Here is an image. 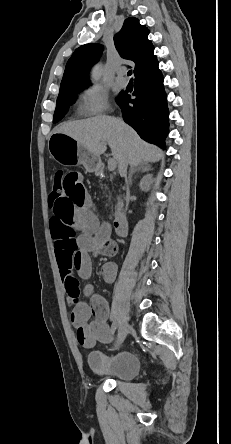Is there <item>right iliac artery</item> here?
<instances>
[{
    "label": "right iliac artery",
    "mask_w": 231,
    "mask_h": 444,
    "mask_svg": "<svg viewBox=\"0 0 231 444\" xmlns=\"http://www.w3.org/2000/svg\"><path fill=\"white\" fill-rule=\"evenodd\" d=\"M116 329H117V323H116V322H113V324H112V330H113V332H115Z\"/></svg>",
    "instance_id": "obj_1"
}]
</instances>
